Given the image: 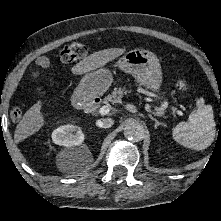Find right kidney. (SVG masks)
<instances>
[{
	"mask_svg": "<svg viewBox=\"0 0 221 221\" xmlns=\"http://www.w3.org/2000/svg\"><path fill=\"white\" fill-rule=\"evenodd\" d=\"M52 140L57 145L72 147L84 141V134L80 127L67 124L57 127L52 132Z\"/></svg>",
	"mask_w": 221,
	"mask_h": 221,
	"instance_id": "1",
	"label": "right kidney"
}]
</instances>
